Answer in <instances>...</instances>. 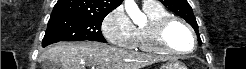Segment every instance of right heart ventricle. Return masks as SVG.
<instances>
[{
  "label": "right heart ventricle",
  "instance_id": "1",
  "mask_svg": "<svg viewBox=\"0 0 246 69\" xmlns=\"http://www.w3.org/2000/svg\"><path fill=\"white\" fill-rule=\"evenodd\" d=\"M143 11L147 17V21L145 24L135 27L134 41L132 47L153 54H164L162 50L154 47L147 41L145 30L148 26L156 23L163 17L170 16L171 13L159 4H144Z\"/></svg>",
  "mask_w": 246,
  "mask_h": 69
}]
</instances>
